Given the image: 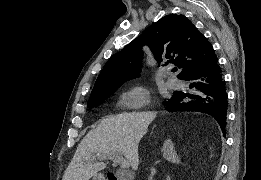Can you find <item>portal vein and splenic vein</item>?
Listing matches in <instances>:
<instances>
[{
  "label": "portal vein and splenic vein",
  "mask_w": 261,
  "mask_h": 180,
  "mask_svg": "<svg viewBox=\"0 0 261 180\" xmlns=\"http://www.w3.org/2000/svg\"><path fill=\"white\" fill-rule=\"evenodd\" d=\"M115 156H120V152H115ZM120 162L121 164H123V162H125V164H128L127 160H124V158H120ZM129 166V164H128Z\"/></svg>",
  "instance_id": "18ae733b"
}]
</instances>
